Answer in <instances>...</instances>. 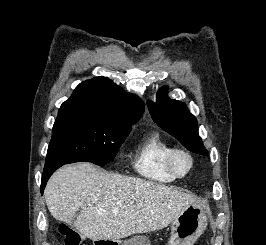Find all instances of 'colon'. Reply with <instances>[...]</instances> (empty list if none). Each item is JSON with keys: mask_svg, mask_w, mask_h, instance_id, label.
I'll return each mask as SVG.
<instances>
[{"mask_svg": "<svg viewBox=\"0 0 266 245\" xmlns=\"http://www.w3.org/2000/svg\"><path fill=\"white\" fill-rule=\"evenodd\" d=\"M59 234L63 236V245H82L83 237L67 224H62L59 227Z\"/></svg>", "mask_w": 266, "mask_h": 245, "instance_id": "1", "label": "colon"}]
</instances>
